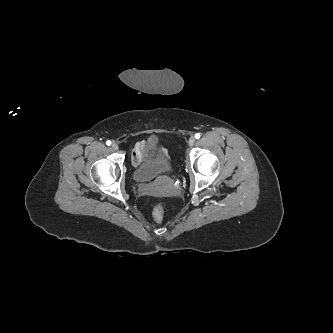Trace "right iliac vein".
<instances>
[{
	"label": "right iliac vein",
	"mask_w": 333,
	"mask_h": 333,
	"mask_svg": "<svg viewBox=\"0 0 333 333\" xmlns=\"http://www.w3.org/2000/svg\"><path fill=\"white\" fill-rule=\"evenodd\" d=\"M111 147H112L113 150H117L118 149V144L114 142V143H112Z\"/></svg>",
	"instance_id": "1"
}]
</instances>
